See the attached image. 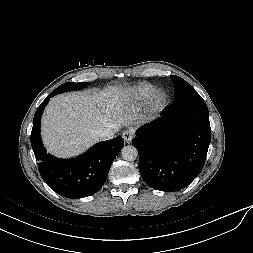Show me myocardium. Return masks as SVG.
I'll return each instance as SVG.
<instances>
[{
    "mask_svg": "<svg viewBox=\"0 0 253 253\" xmlns=\"http://www.w3.org/2000/svg\"><path fill=\"white\" fill-rule=\"evenodd\" d=\"M166 95L163 91L158 90L152 96V103L154 106H159L165 101Z\"/></svg>",
    "mask_w": 253,
    "mask_h": 253,
    "instance_id": "f54148a6",
    "label": "myocardium"
}]
</instances>
